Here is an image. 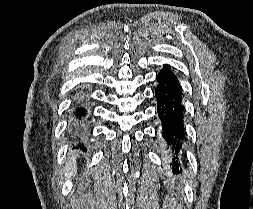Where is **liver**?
<instances>
[{
  "label": "liver",
  "mask_w": 253,
  "mask_h": 209,
  "mask_svg": "<svg viewBox=\"0 0 253 209\" xmlns=\"http://www.w3.org/2000/svg\"><path fill=\"white\" fill-rule=\"evenodd\" d=\"M76 156V154L71 155L65 164L64 174L66 176V179H69L71 176H74L77 172V164L75 161Z\"/></svg>",
  "instance_id": "obj_1"
}]
</instances>
